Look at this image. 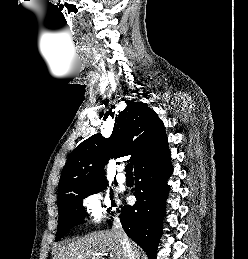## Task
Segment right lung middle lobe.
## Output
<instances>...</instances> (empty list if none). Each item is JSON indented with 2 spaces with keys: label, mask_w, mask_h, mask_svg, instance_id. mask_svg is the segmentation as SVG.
Listing matches in <instances>:
<instances>
[{
  "label": "right lung middle lobe",
  "mask_w": 248,
  "mask_h": 259,
  "mask_svg": "<svg viewBox=\"0 0 248 259\" xmlns=\"http://www.w3.org/2000/svg\"><path fill=\"white\" fill-rule=\"evenodd\" d=\"M105 182L91 186H84L58 197L59 219L55 241H59L73 226L84 223L86 212L83 208V199L91 194L98 193L105 188ZM112 206H115L112 203ZM111 208H108L109 212Z\"/></svg>",
  "instance_id": "obj_1"
}]
</instances>
